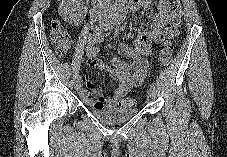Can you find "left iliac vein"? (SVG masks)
I'll use <instances>...</instances> for the list:
<instances>
[{
    "mask_svg": "<svg viewBox=\"0 0 227 157\" xmlns=\"http://www.w3.org/2000/svg\"><path fill=\"white\" fill-rule=\"evenodd\" d=\"M147 94H148V97L154 99V98L156 97V89L153 88V87H150V88L148 89Z\"/></svg>",
    "mask_w": 227,
    "mask_h": 157,
    "instance_id": "1",
    "label": "left iliac vein"
}]
</instances>
